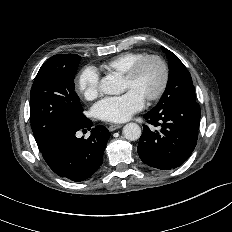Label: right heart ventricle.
<instances>
[{
  "label": "right heart ventricle",
  "instance_id": "right-heart-ventricle-1",
  "mask_svg": "<svg viewBox=\"0 0 232 232\" xmlns=\"http://www.w3.org/2000/svg\"><path fill=\"white\" fill-rule=\"evenodd\" d=\"M145 55L142 52H124L108 60L104 66L108 70L125 74L137 60Z\"/></svg>",
  "mask_w": 232,
  "mask_h": 232
}]
</instances>
